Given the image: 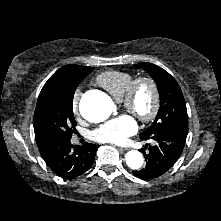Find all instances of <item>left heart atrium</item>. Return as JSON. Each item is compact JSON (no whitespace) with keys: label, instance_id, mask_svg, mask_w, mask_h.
<instances>
[{"label":"left heart atrium","instance_id":"left-heart-atrium-1","mask_svg":"<svg viewBox=\"0 0 221 221\" xmlns=\"http://www.w3.org/2000/svg\"><path fill=\"white\" fill-rule=\"evenodd\" d=\"M136 131L135 119L128 114H123L100 125L93 132V137L99 142L124 144Z\"/></svg>","mask_w":221,"mask_h":221}]
</instances>
